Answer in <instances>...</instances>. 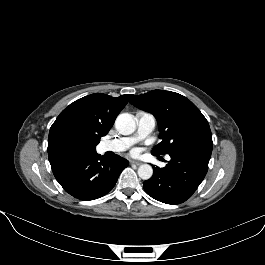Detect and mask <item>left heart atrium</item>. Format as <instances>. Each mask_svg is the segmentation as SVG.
Returning a JSON list of instances; mask_svg holds the SVG:
<instances>
[{
	"instance_id": "left-heart-atrium-1",
	"label": "left heart atrium",
	"mask_w": 265,
	"mask_h": 265,
	"mask_svg": "<svg viewBox=\"0 0 265 265\" xmlns=\"http://www.w3.org/2000/svg\"><path fill=\"white\" fill-rule=\"evenodd\" d=\"M132 154H133V155H137V154H138V150H137V149L133 150V151H132Z\"/></svg>"
}]
</instances>
